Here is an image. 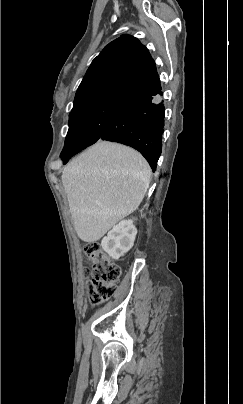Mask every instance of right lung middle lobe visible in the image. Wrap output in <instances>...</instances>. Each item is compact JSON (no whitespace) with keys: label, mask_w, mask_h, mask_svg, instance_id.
<instances>
[{"label":"right lung middle lobe","mask_w":243,"mask_h":404,"mask_svg":"<svg viewBox=\"0 0 243 404\" xmlns=\"http://www.w3.org/2000/svg\"><path fill=\"white\" fill-rule=\"evenodd\" d=\"M126 103L120 100H104L73 109L69 114V130L61 152L64 163L97 142Z\"/></svg>","instance_id":"obj_1"}]
</instances>
